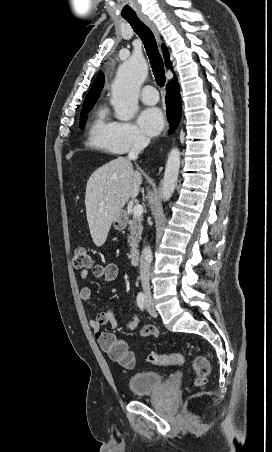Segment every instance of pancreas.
I'll use <instances>...</instances> for the list:
<instances>
[{
    "label": "pancreas",
    "mask_w": 272,
    "mask_h": 452,
    "mask_svg": "<svg viewBox=\"0 0 272 452\" xmlns=\"http://www.w3.org/2000/svg\"><path fill=\"white\" fill-rule=\"evenodd\" d=\"M142 217L141 216H134L132 217L131 220H129L128 224V230L130 232V235L128 237V244L130 247L132 248H137L138 247V243L141 239V234H142Z\"/></svg>",
    "instance_id": "cf45deb5"
}]
</instances>
